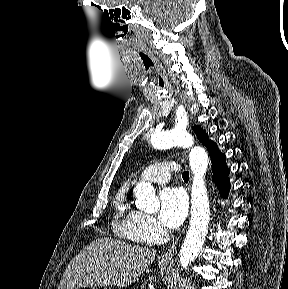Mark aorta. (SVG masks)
<instances>
[{
  "label": "aorta",
  "instance_id": "obj_1",
  "mask_svg": "<svg viewBox=\"0 0 288 289\" xmlns=\"http://www.w3.org/2000/svg\"><path fill=\"white\" fill-rule=\"evenodd\" d=\"M151 142L154 148L189 147L192 140L182 128L155 133ZM189 163L193 173L191 188V219L188 232L183 241L179 254V262L186 269L200 253L210 220V206L204 184V176L208 167V155L202 147H193L189 153ZM136 207L146 212L157 211L160 207L154 187L142 182L135 187Z\"/></svg>",
  "mask_w": 288,
  "mask_h": 289
}]
</instances>
